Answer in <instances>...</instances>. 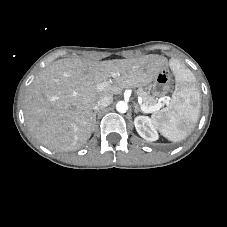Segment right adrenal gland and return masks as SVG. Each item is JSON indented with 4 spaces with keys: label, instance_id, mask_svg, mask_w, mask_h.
I'll list each match as a JSON object with an SVG mask.
<instances>
[{
    "label": "right adrenal gland",
    "instance_id": "1",
    "mask_svg": "<svg viewBox=\"0 0 227 227\" xmlns=\"http://www.w3.org/2000/svg\"><path fill=\"white\" fill-rule=\"evenodd\" d=\"M99 111H95L94 113H93V116H94V124L96 123V114L98 113Z\"/></svg>",
    "mask_w": 227,
    "mask_h": 227
}]
</instances>
